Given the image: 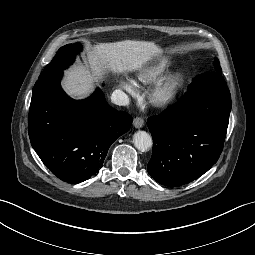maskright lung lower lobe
Here are the masks:
<instances>
[{
	"label": "right lung lower lobe",
	"instance_id": "98d812e1",
	"mask_svg": "<svg viewBox=\"0 0 255 255\" xmlns=\"http://www.w3.org/2000/svg\"><path fill=\"white\" fill-rule=\"evenodd\" d=\"M63 70L42 72L29 109L32 147L45 166L68 183L88 180L102 166L111 144L130 129L132 117L110 107L100 89L85 100L62 90Z\"/></svg>",
	"mask_w": 255,
	"mask_h": 255
}]
</instances>
